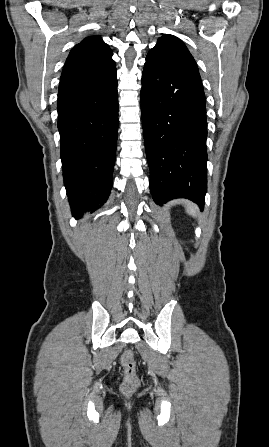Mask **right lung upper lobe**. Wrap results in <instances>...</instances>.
<instances>
[{
    "label": "right lung upper lobe",
    "mask_w": 269,
    "mask_h": 447,
    "mask_svg": "<svg viewBox=\"0 0 269 447\" xmlns=\"http://www.w3.org/2000/svg\"><path fill=\"white\" fill-rule=\"evenodd\" d=\"M112 54V50L100 36L86 37L71 50L61 79L91 74L115 65Z\"/></svg>",
    "instance_id": "cb5924a9"
}]
</instances>
